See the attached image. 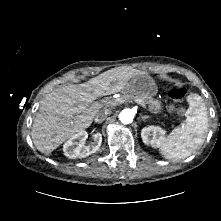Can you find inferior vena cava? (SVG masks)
Segmentation results:
<instances>
[{
	"mask_svg": "<svg viewBox=\"0 0 221 221\" xmlns=\"http://www.w3.org/2000/svg\"><path fill=\"white\" fill-rule=\"evenodd\" d=\"M109 113H110L109 110H104V111L98 112L94 118L95 122L102 123L106 119V117Z\"/></svg>",
	"mask_w": 221,
	"mask_h": 221,
	"instance_id": "obj_1",
	"label": "inferior vena cava"
}]
</instances>
